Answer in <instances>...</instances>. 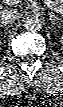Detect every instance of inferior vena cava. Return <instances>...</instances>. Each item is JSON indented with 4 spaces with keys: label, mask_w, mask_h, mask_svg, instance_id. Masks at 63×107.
<instances>
[{
    "label": "inferior vena cava",
    "mask_w": 63,
    "mask_h": 107,
    "mask_svg": "<svg viewBox=\"0 0 63 107\" xmlns=\"http://www.w3.org/2000/svg\"><path fill=\"white\" fill-rule=\"evenodd\" d=\"M17 18H18V12L14 9H10V10L3 9L0 12L1 25L12 24Z\"/></svg>",
    "instance_id": "1"
}]
</instances>
